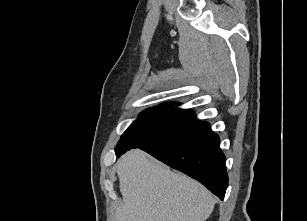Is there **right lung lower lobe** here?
<instances>
[{"label":"right lung lower lobe","mask_w":307,"mask_h":221,"mask_svg":"<svg viewBox=\"0 0 307 221\" xmlns=\"http://www.w3.org/2000/svg\"><path fill=\"white\" fill-rule=\"evenodd\" d=\"M139 148L224 198L228 187L226 159L219 147V136L207 122H199L171 139Z\"/></svg>","instance_id":"right-lung-lower-lobe-1"}]
</instances>
